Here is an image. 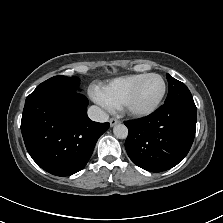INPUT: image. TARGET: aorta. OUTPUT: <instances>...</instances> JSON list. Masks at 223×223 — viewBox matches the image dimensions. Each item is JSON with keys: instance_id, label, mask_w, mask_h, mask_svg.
<instances>
[{"instance_id": "aorta-1", "label": "aorta", "mask_w": 223, "mask_h": 223, "mask_svg": "<svg viewBox=\"0 0 223 223\" xmlns=\"http://www.w3.org/2000/svg\"><path fill=\"white\" fill-rule=\"evenodd\" d=\"M113 133L117 138H126L128 134V129L124 124H116L113 127Z\"/></svg>"}]
</instances>
